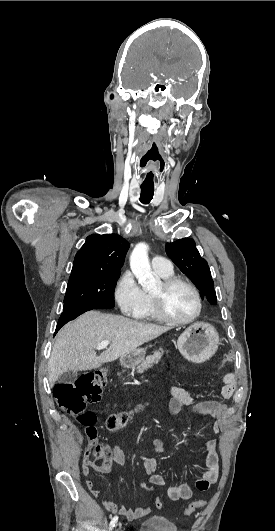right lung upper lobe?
I'll return each mask as SVG.
<instances>
[{"label":"right lung upper lobe","mask_w":275,"mask_h":531,"mask_svg":"<svg viewBox=\"0 0 275 531\" xmlns=\"http://www.w3.org/2000/svg\"><path fill=\"white\" fill-rule=\"evenodd\" d=\"M128 249V242L117 234L90 235L75 256L71 276L120 273Z\"/></svg>","instance_id":"cb5924a9"}]
</instances>
